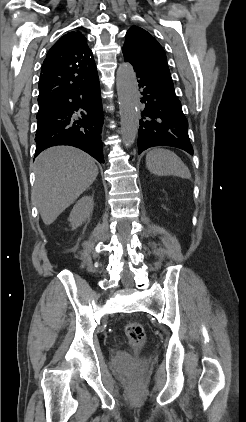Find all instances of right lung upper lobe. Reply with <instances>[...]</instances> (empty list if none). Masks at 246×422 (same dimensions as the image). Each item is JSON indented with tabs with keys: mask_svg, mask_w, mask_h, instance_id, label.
I'll return each instance as SVG.
<instances>
[{
	"mask_svg": "<svg viewBox=\"0 0 246 422\" xmlns=\"http://www.w3.org/2000/svg\"><path fill=\"white\" fill-rule=\"evenodd\" d=\"M92 51L80 31L63 35L48 51L39 80V107L97 77Z\"/></svg>",
	"mask_w": 246,
	"mask_h": 422,
	"instance_id": "obj_1",
	"label": "right lung upper lobe"
}]
</instances>
